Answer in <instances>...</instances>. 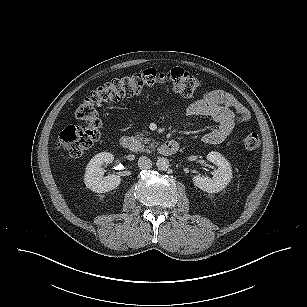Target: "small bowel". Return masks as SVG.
<instances>
[{
  "label": "small bowel",
  "instance_id": "small-bowel-1",
  "mask_svg": "<svg viewBox=\"0 0 307 307\" xmlns=\"http://www.w3.org/2000/svg\"><path fill=\"white\" fill-rule=\"evenodd\" d=\"M190 117H207L215 126L204 133L202 140L207 144L223 142L235 126L249 119V111L231 93L209 90L192 102L186 109Z\"/></svg>",
  "mask_w": 307,
  "mask_h": 307
}]
</instances>
